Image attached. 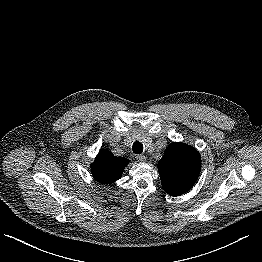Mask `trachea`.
Here are the masks:
<instances>
[{"instance_id": "1", "label": "trachea", "mask_w": 262, "mask_h": 262, "mask_svg": "<svg viewBox=\"0 0 262 262\" xmlns=\"http://www.w3.org/2000/svg\"><path fill=\"white\" fill-rule=\"evenodd\" d=\"M132 150L135 154H141L143 152V145L140 142H134Z\"/></svg>"}]
</instances>
